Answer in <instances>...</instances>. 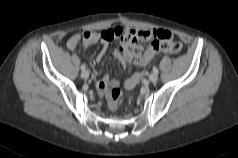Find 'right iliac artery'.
<instances>
[{"label":"right iliac artery","instance_id":"1","mask_svg":"<svg viewBox=\"0 0 238 158\" xmlns=\"http://www.w3.org/2000/svg\"><path fill=\"white\" fill-rule=\"evenodd\" d=\"M85 68H86V66H85V64H83V65L81 66V70L83 71V70H85Z\"/></svg>","mask_w":238,"mask_h":158}]
</instances>
